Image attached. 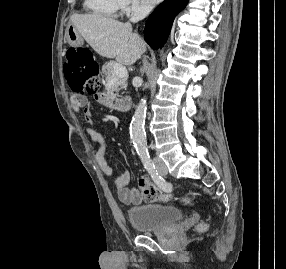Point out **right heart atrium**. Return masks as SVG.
Wrapping results in <instances>:
<instances>
[{
    "label": "right heart atrium",
    "mask_w": 286,
    "mask_h": 269,
    "mask_svg": "<svg viewBox=\"0 0 286 269\" xmlns=\"http://www.w3.org/2000/svg\"><path fill=\"white\" fill-rule=\"evenodd\" d=\"M150 10L146 0H121V11L126 15H142Z\"/></svg>",
    "instance_id": "d8ad5b80"
}]
</instances>
